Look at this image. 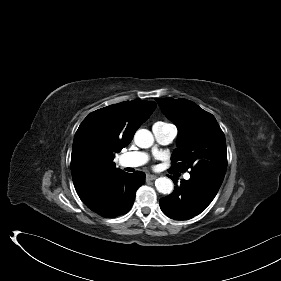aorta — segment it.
Here are the masks:
<instances>
[{
    "mask_svg": "<svg viewBox=\"0 0 281 281\" xmlns=\"http://www.w3.org/2000/svg\"><path fill=\"white\" fill-rule=\"evenodd\" d=\"M134 141L140 148H149L154 143V137L149 130L139 129L135 133ZM155 186L157 191L162 194H170L174 188L172 180L167 177H160L156 179Z\"/></svg>",
    "mask_w": 281,
    "mask_h": 281,
    "instance_id": "obj_1",
    "label": "aorta"
}]
</instances>
